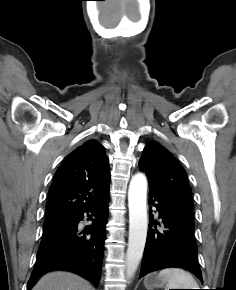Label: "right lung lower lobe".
Wrapping results in <instances>:
<instances>
[{
	"label": "right lung lower lobe",
	"instance_id": "right-lung-lower-lobe-1",
	"mask_svg": "<svg viewBox=\"0 0 236 290\" xmlns=\"http://www.w3.org/2000/svg\"><path fill=\"white\" fill-rule=\"evenodd\" d=\"M108 203L109 191L100 202L75 213L65 221L43 229L27 290H30L44 273L52 270L77 273L96 287L99 286ZM85 212H90L94 218H91L92 225L81 230L78 224Z\"/></svg>",
	"mask_w": 236,
	"mask_h": 290
}]
</instances>
